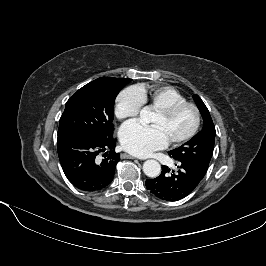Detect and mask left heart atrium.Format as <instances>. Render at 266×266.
<instances>
[{
  "instance_id": "left-heart-atrium-1",
  "label": "left heart atrium",
  "mask_w": 266,
  "mask_h": 266,
  "mask_svg": "<svg viewBox=\"0 0 266 266\" xmlns=\"http://www.w3.org/2000/svg\"><path fill=\"white\" fill-rule=\"evenodd\" d=\"M120 142L129 153L145 157L165 147L169 140L156 125L145 126L138 122H131L122 127Z\"/></svg>"
}]
</instances>
